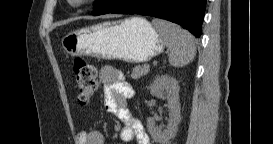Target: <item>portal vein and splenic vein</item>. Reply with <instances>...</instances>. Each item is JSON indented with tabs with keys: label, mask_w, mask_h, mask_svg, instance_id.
<instances>
[{
	"label": "portal vein and splenic vein",
	"mask_w": 273,
	"mask_h": 144,
	"mask_svg": "<svg viewBox=\"0 0 273 144\" xmlns=\"http://www.w3.org/2000/svg\"><path fill=\"white\" fill-rule=\"evenodd\" d=\"M146 68H148V69H149V68H150V66H149V65H146Z\"/></svg>",
	"instance_id": "18ae733b"
}]
</instances>
